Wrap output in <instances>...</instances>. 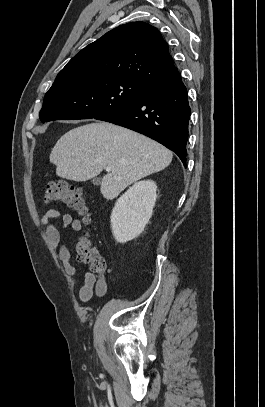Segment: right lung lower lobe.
I'll use <instances>...</instances> for the list:
<instances>
[{
    "mask_svg": "<svg viewBox=\"0 0 265 407\" xmlns=\"http://www.w3.org/2000/svg\"><path fill=\"white\" fill-rule=\"evenodd\" d=\"M191 109L187 89L176 68L151 85L134 104L95 119L144 134L174 151L186 167V145Z\"/></svg>",
    "mask_w": 265,
    "mask_h": 407,
    "instance_id": "obj_1",
    "label": "right lung lower lobe"
}]
</instances>
